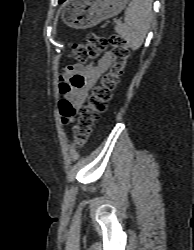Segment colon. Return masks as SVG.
<instances>
[{
	"label": "colon",
	"mask_w": 194,
	"mask_h": 250,
	"mask_svg": "<svg viewBox=\"0 0 194 250\" xmlns=\"http://www.w3.org/2000/svg\"><path fill=\"white\" fill-rule=\"evenodd\" d=\"M109 45L112 46V65L102 76L99 84L91 91L86 105L79 109V117L73 128V146L82 147L92 133L94 123L107 109L120 76L129 56V45L120 36L106 37L96 32L87 34L84 42L71 45V56L81 63L95 59ZM68 114L74 113L73 108L66 109Z\"/></svg>",
	"instance_id": "5ec220e1"
}]
</instances>
